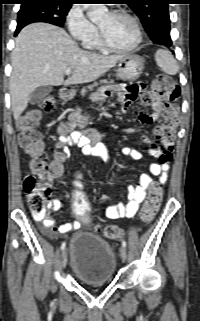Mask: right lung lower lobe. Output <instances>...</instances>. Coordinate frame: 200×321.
<instances>
[{
  "instance_id": "98d812e1",
  "label": "right lung lower lobe",
  "mask_w": 200,
  "mask_h": 321,
  "mask_svg": "<svg viewBox=\"0 0 200 321\" xmlns=\"http://www.w3.org/2000/svg\"><path fill=\"white\" fill-rule=\"evenodd\" d=\"M21 29H22V28H17V29H16V32H15V35H17Z\"/></svg>"
}]
</instances>
